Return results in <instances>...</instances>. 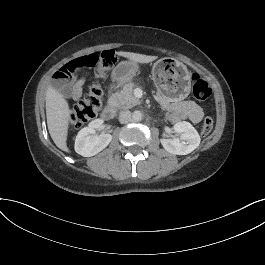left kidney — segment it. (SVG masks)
<instances>
[{"mask_svg": "<svg viewBox=\"0 0 265 265\" xmlns=\"http://www.w3.org/2000/svg\"><path fill=\"white\" fill-rule=\"evenodd\" d=\"M179 138H160L163 149L173 155H188L200 144V136L197 130L189 122H178L174 126ZM186 142V144H185Z\"/></svg>", "mask_w": 265, "mask_h": 265, "instance_id": "5707ae66", "label": "left kidney"}]
</instances>
